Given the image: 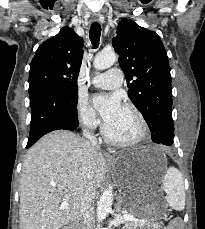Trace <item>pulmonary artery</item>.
<instances>
[{
	"label": "pulmonary artery",
	"mask_w": 205,
	"mask_h": 229,
	"mask_svg": "<svg viewBox=\"0 0 205 229\" xmlns=\"http://www.w3.org/2000/svg\"><path fill=\"white\" fill-rule=\"evenodd\" d=\"M123 81V72L119 68H111L108 71L96 75L92 82L96 87L102 89H114L119 87Z\"/></svg>",
	"instance_id": "pulmonary-artery-1"
}]
</instances>
